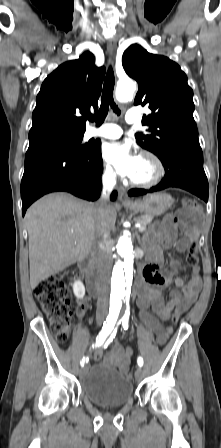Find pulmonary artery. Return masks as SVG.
I'll list each match as a JSON object with an SVG mask.
<instances>
[{"mask_svg": "<svg viewBox=\"0 0 221 448\" xmlns=\"http://www.w3.org/2000/svg\"><path fill=\"white\" fill-rule=\"evenodd\" d=\"M140 119V112L135 108H131L127 111L126 121L128 123H136ZM122 130L119 126L106 123L99 128H91L87 132L88 138H104V139H117L121 136Z\"/></svg>", "mask_w": 221, "mask_h": 448, "instance_id": "1", "label": "pulmonary artery"}]
</instances>
